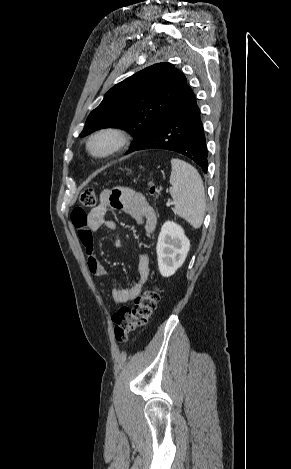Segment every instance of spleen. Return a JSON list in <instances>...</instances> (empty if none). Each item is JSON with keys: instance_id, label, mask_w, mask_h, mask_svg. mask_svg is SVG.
I'll use <instances>...</instances> for the list:
<instances>
[{"instance_id": "spleen-1", "label": "spleen", "mask_w": 291, "mask_h": 469, "mask_svg": "<svg viewBox=\"0 0 291 469\" xmlns=\"http://www.w3.org/2000/svg\"><path fill=\"white\" fill-rule=\"evenodd\" d=\"M170 194L174 213L185 219L193 228H199L205 216V191L203 181L191 164L174 158L171 160Z\"/></svg>"}]
</instances>
